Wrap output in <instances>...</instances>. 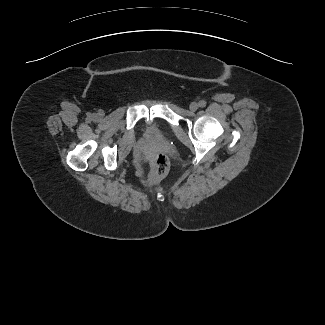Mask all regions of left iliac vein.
Wrapping results in <instances>:
<instances>
[{
	"label": "left iliac vein",
	"mask_w": 325,
	"mask_h": 325,
	"mask_svg": "<svg viewBox=\"0 0 325 325\" xmlns=\"http://www.w3.org/2000/svg\"><path fill=\"white\" fill-rule=\"evenodd\" d=\"M198 107H199V105L196 102H192L190 104L189 108H190L191 111H196L198 109Z\"/></svg>",
	"instance_id": "obj_1"
}]
</instances>
